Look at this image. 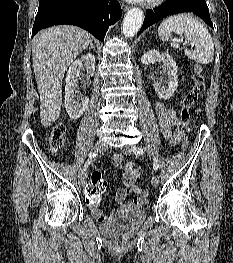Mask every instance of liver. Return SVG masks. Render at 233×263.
Wrapping results in <instances>:
<instances>
[{"label": "liver", "instance_id": "obj_1", "mask_svg": "<svg viewBox=\"0 0 233 263\" xmlns=\"http://www.w3.org/2000/svg\"><path fill=\"white\" fill-rule=\"evenodd\" d=\"M90 42L88 32L72 25L53 26L35 35L32 41V59L43 126L49 127L58 119L62 106L64 74Z\"/></svg>", "mask_w": 233, "mask_h": 263}]
</instances>
